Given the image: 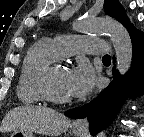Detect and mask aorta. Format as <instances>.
<instances>
[{
    "label": "aorta",
    "instance_id": "obj_1",
    "mask_svg": "<svg viewBox=\"0 0 144 137\" xmlns=\"http://www.w3.org/2000/svg\"><path fill=\"white\" fill-rule=\"evenodd\" d=\"M80 31L92 33L106 32L109 34L116 53L117 70L124 75L130 68L132 61V42L125 27L112 19H83L74 24ZM106 131H101L98 137H105Z\"/></svg>",
    "mask_w": 144,
    "mask_h": 137
}]
</instances>
